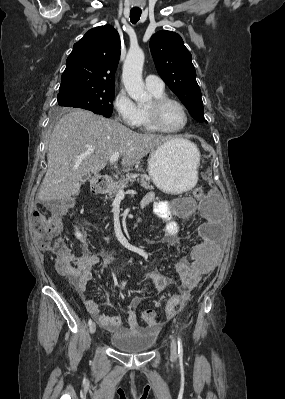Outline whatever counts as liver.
<instances>
[{"mask_svg": "<svg viewBox=\"0 0 285 399\" xmlns=\"http://www.w3.org/2000/svg\"><path fill=\"white\" fill-rule=\"evenodd\" d=\"M168 137L137 133L117 121L84 110H72L56 124L47 153L48 167L38 192L40 201H67L80 193L83 177L98 174L119 153L128 168Z\"/></svg>", "mask_w": 285, "mask_h": 399, "instance_id": "obj_1", "label": "liver"}]
</instances>
